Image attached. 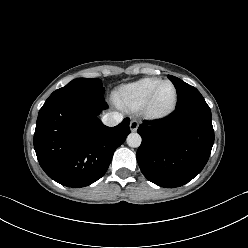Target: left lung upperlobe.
I'll return each instance as SVG.
<instances>
[{"label":"left lung upper lobe","mask_w":248,"mask_h":248,"mask_svg":"<svg viewBox=\"0 0 248 248\" xmlns=\"http://www.w3.org/2000/svg\"><path fill=\"white\" fill-rule=\"evenodd\" d=\"M168 78L175 85L177 90L178 101L176 108L184 106L198 99H204L203 96L195 87L185 83L184 81L180 80L177 77L168 75Z\"/></svg>","instance_id":"left-lung-upper-lobe-1"}]
</instances>
